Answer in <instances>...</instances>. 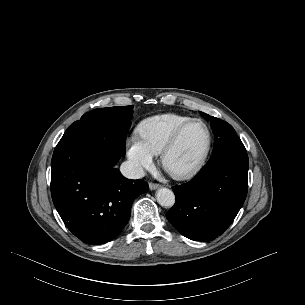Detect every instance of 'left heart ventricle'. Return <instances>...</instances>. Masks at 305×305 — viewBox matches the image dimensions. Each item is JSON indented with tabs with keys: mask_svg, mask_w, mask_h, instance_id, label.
I'll return each instance as SVG.
<instances>
[{
	"mask_svg": "<svg viewBox=\"0 0 305 305\" xmlns=\"http://www.w3.org/2000/svg\"><path fill=\"white\" fill-rule=\"evenodd\" d=\"M206 142V128L202 124L192 125L185 132L178 148L169 157L170 168L180 171L192 166L201 156Z\"/></svg>",
	"mask_w": 305,
	"mask_h": 305,
	"instance_id": "left-heart-ventricle-1",
	"label": "left heart ventricle"
}]
</instances>
